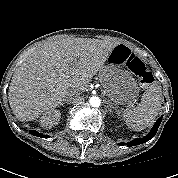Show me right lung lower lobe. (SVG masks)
Returning <instances> with one entry per match:
<instances>
[{"mask_svg":"<svg viewBox=\"0 0 178 178\" xmlns=\"http://www.w3.org/2000/svg\"><path fill=\"white\" fill-rule=\"evenodd\" d=\"M30 133L34 136H38V137H42V138H47L48 136L47 135H42L40 133H38L37 131H30Z\"/></svg>","mask_w":178,"mask_h":178,"instance_id":"right-lung-lower-lobe-1","label":"right lung lower lobe"}]
</instances>
